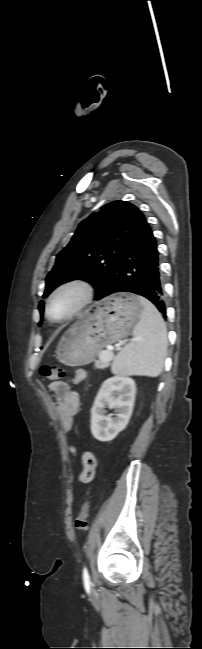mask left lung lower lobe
I'll list each match as a JSON object with an SVG mask.
<instances>
[{
	"instance_id": "obj_1",
	"label": "left lung lower lobe",
	"mask_w": 202,
	"mask_h": 649,
	"mask_svg": "<svg viewBox=\"0 0 202 649\" xmlns=\"http://www.w3.org/2000/svg\"><path fill=\"white\" fill-rule=\"evenodd\" d=\"M158 255L155 237L144 218L125 244L113 276L96 300L116 292L135 293L154 303L166 318Z\"/></svg>"
}]
</instances>
